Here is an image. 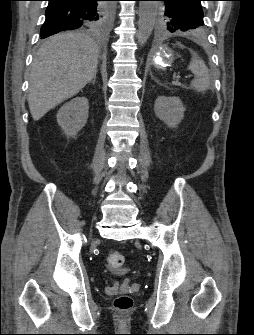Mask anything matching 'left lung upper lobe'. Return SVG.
<instances>
[{"instance_id": "1", "label": "left lung upper lobe", "mask_w": 254, "mask_h": 335, "mask_svg": "<svg viewBox=\"0 0 254 335\" xmlns=\"http://www.w3.org/2000/svg\"><path fill=\"white\" fill-rule=\"evenodd\" d=\"M165 2L161 11L163 27L170 31L202 30L204 27L202 0H160Z\"/></svg>"}]
</instances>
